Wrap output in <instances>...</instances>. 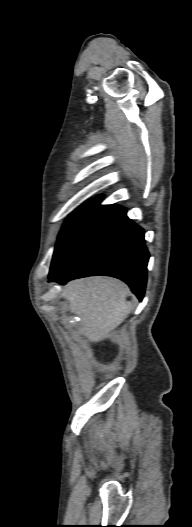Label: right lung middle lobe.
Returning <instances> with one entry per match:
<instances>
[{"label":"right lung middle lobe","instance_id":"1","mask_svg":"<svg viewBox=\"0 0 192 527\" xmlns=\"http://www.w3.org/2000/svg\"><path fill=\"white\" fill-rule=\"evenodd\" d=\"M93 201L94 200L86 202L68 217L61 229L58 240L62 237V235L69 228V226L90 206Z\"/></svg>","mask_w":192,"mask_h":527}]
</instances>
